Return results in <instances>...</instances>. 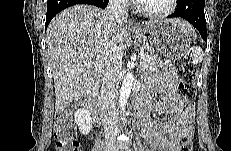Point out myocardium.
I'll list each match as a JSON object with an SVG mask.
<instances>
[{
    "label": "myocardium",
    "instance_id": "myocardium-1",
    "mask_svg": "<svg viewBox=\"0 0 231 151\" xmlns=\"http://www.w3.org/2000/svg\"><path fill=\"white\" fill-rule=\"evenodd\" d=\"M176 3V0H168L167 6L161 10H151L145 7L143 4H136V10L148 18H163L173 12Z\"/></svg>",
    "mask_w": 231,
    "mask_h": 151
}]
</instances>
